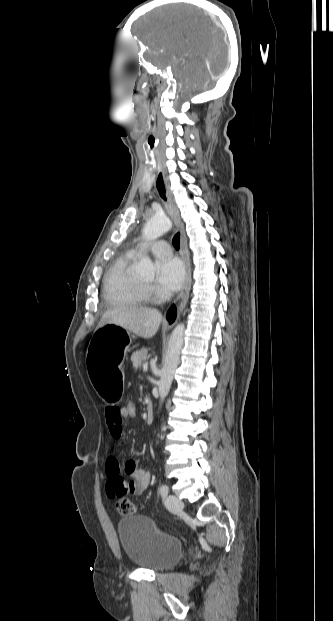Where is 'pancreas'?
<instances>
[{
	"mask_svg": "<svg viewBox=\"0 0 333 621\" xmlns=\"http://www.w3.org/2000/svg\"><path fill=\"white\" fill-rule=\"evenodd\" d=\"M147 360V349L142 348L133 352L131 355V361L133 362V366L135 368H140L143 363Z\"/></svg>",
	"mask_w": 333,
	"mask_h": 621,
	"instance_id": "pancreas-1",
	"label": "pancreas"
}]
</instances>
